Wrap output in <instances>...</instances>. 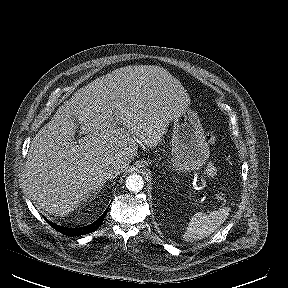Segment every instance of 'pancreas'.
Segmentation results:
<instances>
[{
	"label": "pancreas",
	"mask_w": 288,
	"mask_h": 288,
	"mask_svg": "<svg viewBox=\"0 0 288 288\" xmlns=\"http://www.w3.org/2000/svg\"><path fill=\"white\" fill-rule=\"evenodd\" d=\"M213 169H214V164L212 162H209V164L207 165L206 172L210 173L211 171H213Z\"/></svg>",
	"instance_id": "obj_1"
}]
</instances>
